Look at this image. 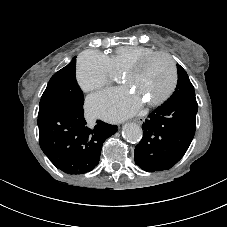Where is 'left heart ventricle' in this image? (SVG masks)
Listing matches in <instances>:
<instances>
[{
    "label": "left heart ventricle",
    "instance_id": "b2bd125f",
    "mask_svg": "<svg viewBox=\"0 0 227 227\" xmlns=\"http://www.w3.org/2000/svg\"><path fill=\"white\" fill-rule=\"evenodd\" d=\"M172 78L169 61L164 57H156L138 73L124 76V81L134 89L138 98L148 102L163 95L170 87Z\"/></svg>",
    "mask_w": 227,
    "mask_h": 227
}]
</instances>
